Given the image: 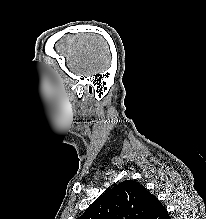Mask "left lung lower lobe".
<instances>
[{"instance_id":"left-lung-lower-lobe-1","label":"left lung lower lobe","mask_w":206,"mask_h":219,"mask_svg":"<svg viewBox=\"0 0 206 219\" xmlns=\"http://www.w3.org/2000/svg\"><path fill=\"white\" fill-rule=\"evenodd\" d=\"M147 219H170L166 208L154 196L151 204V212Z\"/></svg>"}]
</instances>
